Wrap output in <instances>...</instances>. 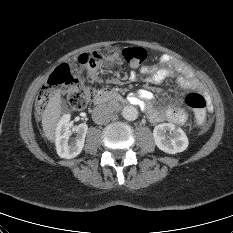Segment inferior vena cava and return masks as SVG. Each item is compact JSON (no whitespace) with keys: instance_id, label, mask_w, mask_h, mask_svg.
Here are the masks:
<instances>
[{"instance_id":"obj_1","label":"inferior vena cava","mask_w":233,"mask_h":233,"mask_svg":"<svg viewBox=\"0 0 233 233\" xmlns=\"http://www.w3.org/2000/svg\"><path fill=\"white\" fill-rule=\"evenodd\" d=\"M113 117V110L108 104L97 105L92 112L93 121L96 124L103 125L110 122Z\"/></svg>"}]
</instances>
